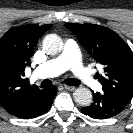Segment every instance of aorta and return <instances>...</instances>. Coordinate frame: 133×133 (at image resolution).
Instances as JSON below:
<instances>
[{"label": "aorta", "mask_w": 133, "mask_h": 133, "mask_svg": "<svg viewBox=\"0 0 133 133\" xmlns=\"http://www.w3.org/2000/svg\"><path fill=\"white\" fill-rule=\"evenodd\" d=\"M43 49L47 54L56 55L62 50L61 38L55 34L47 35L42 42ZM74 101L81 106H88L92 102V92L85 87L77 88L73 93Z\"/></svg>", "instance_id": "obj_1"}]
</instances>
